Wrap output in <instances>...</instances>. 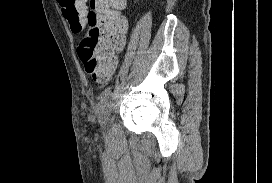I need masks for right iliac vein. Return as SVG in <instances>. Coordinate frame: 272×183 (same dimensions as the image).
Segmentation results:
<instances>
[{
    "label": "right iliac vein",
    "instance_id": "obj_1",
    "mask_svg": "<svg viewBox=\"0 0 272 183\" xmlns=\"http://www.w3.org/2000/svg\"><path fill=\"white\" fill-rule=\"evenodd\" d=\"M108 107H109V102L106 100L105 102L101 104V106L98 109V119L103 128L105 127L107 123V119H108L107 117Z\"/></svg>",
    "mask_w": 272,
    "mask_h": 183
}]
</instances>
